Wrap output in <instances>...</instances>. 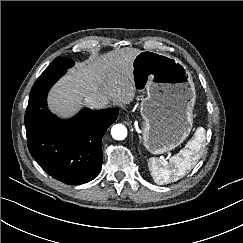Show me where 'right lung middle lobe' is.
I'll return each instance as SVG.
<instances>
[{
  "instance_id": "1",
  "label": "right lung middle lobe",
  "mask_w": 243,
  "mask_h": 243,
  "mask_svg": "<svg viewBox=\"0 0 243 243\" xmlns=\"http://www.w3.org/2000/svg\"><path fill=\"white\" fill-rule=\"evenodd\" d=\"M74 62L71 59L65 57H57L53 62L47 67L46 70H58V69H68L73 66Z\"/></svg>"
}]
</instances>
